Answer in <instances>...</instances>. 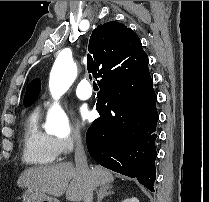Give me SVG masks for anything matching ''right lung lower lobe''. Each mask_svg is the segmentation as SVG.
<instances>
[{
  "mask_svg": "<svg viewBox=\"0 0 209 202\" xmlns=\"http://www.w3.org/2000/svg\"><path fill=\"white\" fill-rule=\"evenodd\" d=\"M96 109L100 114L87 131L89 154L100 165L137 178L154 191L155 134L159 115L149 70L120 89L100 87Z\"/></svg>",
  "mask_w": 209,
  "mask_h": 202,
  "instance_id": "right-lung-lower-lobe-1",
  "label": "right lung lower lobe"
}]
</instances>
